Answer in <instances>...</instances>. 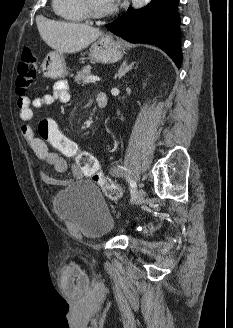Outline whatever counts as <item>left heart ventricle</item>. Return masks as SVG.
<instances>
[{"mask_svg":"<svg viewBox=\"0 0 233 328\" xmlns=\"http://www.w3.org/2000/svg\"><path fill=\"white\" fill-rule=\"evenodd\" d=\"M94 7L97 9L105 10L112 7L106 0H91Z\"/></svg>","mask_w":233,"mask_h":328,"instance_id":"b2bd125f","label":"left heart ventricle"}]
</instances>
